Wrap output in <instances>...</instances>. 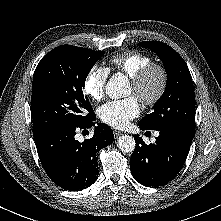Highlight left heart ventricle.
Listing matches in <instances>:
<instances>
[{"instance_id": "b2bd125f", "label": "left heart ventricle", "mask_w": 221, "mask_h": 221, "mask_svg": "<svg viewBox=\"0 0 221 221\" xmlns=\"http://www.w3.org/2000/svg\"><path fill=\"white\" fill-rule=\"evenodd\" d=\"M156 83H157V76L155 75L151 80V83L148 87V91H152L155 88ZM128 94H134V89L132 84L130 85Z\"/></svg>"}]
</instances>
